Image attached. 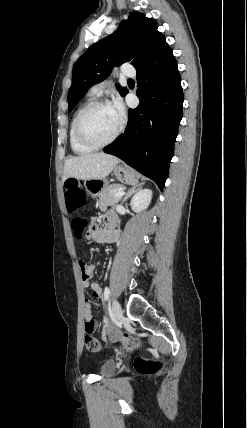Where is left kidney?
Instances as JSON below:
<instances>
[{"label": "left kidney", "mask_w": 247, "mask_h": 428, "mask_svg": "<svg viewBox=\"0 0 247 428\" xmlns=\"http://www.w3.org/2000/svg\"><path fill=\"white\" fill-rule=\"evenodd\" d=\"M152 199V191L150 189H140L131 199L130 205L134 212L145 210Z\"/></svg>", "instance_id": "left-kidney-1"}]
</instances>
